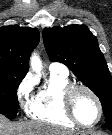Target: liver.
<instances>
[{"mask_svg": "<svg viewBox=\"0 0 112 135\" xmlns=\"http://www.w3.org/2000/svg\"><path fill=\"white\" fill-rule=\"evenodd\" d=\"M0 135H74L73 132L55 128L40 122L10 123L0 115Z\"/></svg>", "mask_w": 112, "mask_h": 135, "instance_id": "6515ba94", "label": "liver"}]
</instances>
